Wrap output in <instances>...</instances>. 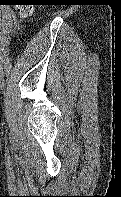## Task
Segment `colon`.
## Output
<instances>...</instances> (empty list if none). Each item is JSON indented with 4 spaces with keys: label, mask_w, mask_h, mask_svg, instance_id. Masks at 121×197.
<instances>
[{
    "label": "colon",
    "mask_w": 121,
    "mask_h": 197,
    "mask_svg": "<svg viewBox=\"0 0 121 197\" xmlns=\"http://www.w3.org/2000/svg\"><path fill=\"white\" fill-rule=\"evenodd\" d=\"M20 4L17 6V10L21 16H28L32 12L34 0H20Z\"/></svg>",
    "instance_id": "5ec220e1"
}]
</instances>
